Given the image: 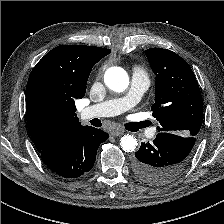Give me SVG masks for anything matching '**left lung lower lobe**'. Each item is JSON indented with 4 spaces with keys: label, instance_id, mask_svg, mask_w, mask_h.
<instances>
[{
    "label": "left lung lower lobe",
    "instance_id": "obj_1",
    "mask_svg": "<svg viewBox=\"0 0 224 224\" xmlns=\"http://www.w3.org/2000/svg\"><path fill=\"white\" fill-rule=\"evenodd\" d=\"M195 137L159 132L151 143H141L132 168L142 181L163 185L174 180L185 168Z\"/></svg>",
    "mask_w": 224,
    "mask_h": 224
}]
</instances>
